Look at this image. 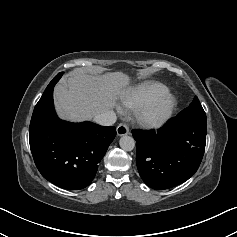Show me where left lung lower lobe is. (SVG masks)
Wrapping results in <instances>:
<instances>
[{
	"instance_id": "1",
	"label": "left lung lower lobe",
	"mask_w": 237,
	"mask_h": 237,
	"mask_svg": "<svg viewBox=\"0 0 237 237\" xmlns=\"http://www.w3.org/2000/svg\"><path fill=\"white\" fill-rule=\"evenodd\" d=\"M207 123L170 119L158 132L133 131L136 163L145 184L157 190L188 180L199 168L206 144Z\"/></svg>"
}]
</instances>
